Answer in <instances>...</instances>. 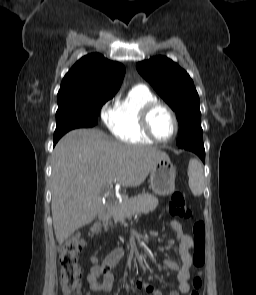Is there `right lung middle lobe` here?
Wrapping results in <instances>:
<instances>
[{"label": "right lung middle lobe", "mask_w": 256, "mask_h": 295, "mask_svg": "<svg viewBox=\"0 0 256 295\" xmlns=\"http://www.w3.org/2000/svg\"><path fill=\"white\" fill-rule=\"evenodd\" d=\"M111 98H98L81 103L58 105L56 112L57 126L54 136L63 135L75 128L86 127L90 119L97 124L98 113L102 105Z\"/></svg>", "instance_id": "dd1d6c3e"}]
</instances>
